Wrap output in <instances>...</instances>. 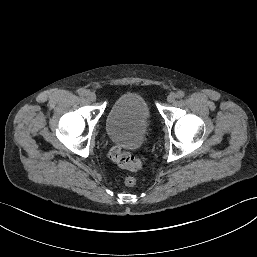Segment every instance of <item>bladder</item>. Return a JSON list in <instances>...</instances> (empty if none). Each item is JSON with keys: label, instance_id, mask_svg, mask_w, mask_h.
<instances>
[{"label": "bladder", "instance_id": "obj_1", "mask_svg": "<svg viewBox=\"0 0 257 257\" xmlns=\"http://www.w3.org/2000/svg\"><path fill=\"white\" fill-rule=\"evenodd\" d=\"M150 119L145 98L138 93L127 92L112 104L105 120V132L117 145L134 149L142 144Z\"/></svg>", "mask_w": 257, "mask_h": 257}]
</instances>
